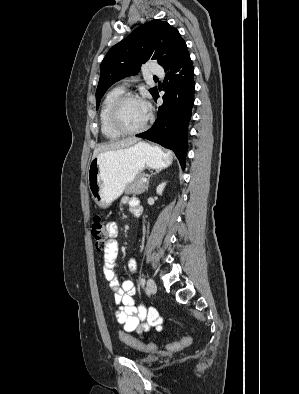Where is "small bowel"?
I'll return each instance as SVG.
<instances>
[{"label":"small bowel","mask_w":299,"mask_h":394,"mask_svg":"<svg viewBox=\"0 0 299 394\" xmlns=\"http://www.w3.org/2000/svg\"><path fill=\"white\" fill-rule=\"evenodd\" d=\"M123 205L130 207L134 216H140L142 208L136 198L124 196L121 198ZM109 242L103 255V273L110 289L114 292V305L117 307L115 318L118 324L122 325L127 333L136 332L139 335L154 328L162 330V318L158 310L153 307H146L143 303L137 304L135 295L137 289L133 281L125 280L120 282L116 274V259L118 255V243L115 238L118 235V226L115 222L107 223ZM128 268L131 272L136 270V260L130 259Z\"/></svg>","instance_id":"small-bowel-1"}]
</instances>
